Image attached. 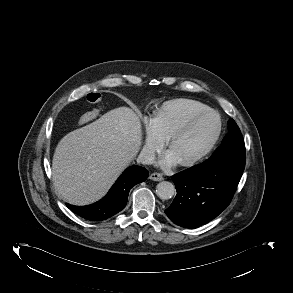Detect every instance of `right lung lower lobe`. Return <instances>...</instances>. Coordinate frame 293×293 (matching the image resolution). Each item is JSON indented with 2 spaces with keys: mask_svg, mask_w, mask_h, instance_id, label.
Here are the masks:
<instances>
[{
  "mask_svg": "<svg viewBox=\"0 0 293 293\" xmlns=\"http://www.w3.org/2000/svg\"><path fill=\"white\" fill-rule=\"evenodd\" d=\"M148 177V171L140 166H131L118 178L107 195L88 206L66 204L75 214L90 221H101L121 211L126 203L130 189Z\"/></svg>",
  "mask_w": 293,
  "mask_h": 293,
  "instance_id": "right-lung-lower-lobe-1",
  "label": "right lung lower lobe"
}]
</instances>
